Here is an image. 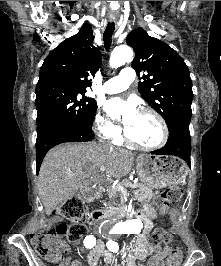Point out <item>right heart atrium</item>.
<instances>
[{"label":"right heart atrium","mask_w":221,"mask_h":266,"mask_svg":"<svg viewBox=\"0 0 221 266\" xmlns=\"http://www.w3.org/2000/svg\"><path fill=\"white\" fill-rule=\"evenodd\" d=\"M93 130L98 137L105 140L119 139L121 134V129L110 122L100 111L94 117Z\"/></svg>","instance_id":"1"}]
</instances>
